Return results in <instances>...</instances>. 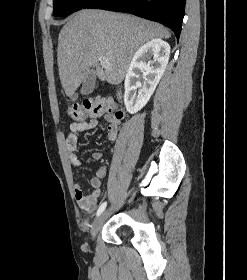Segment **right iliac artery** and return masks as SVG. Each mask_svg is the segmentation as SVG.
Masks as SVG:
<instances>
[{"mask_svg":"<svg viewBox=\"0 0 247 280\" xmlns=\"http://www.w3.org/2000/svg\"><path fill=\"white\" fill-rule=\"evenodd\" d=\"M107 202H104L100 205V207L97 210L96 215L99 216L106 208Z\"/></svg>","mask_w":247,"mask_h":280,"instance_id":"82829eb1","label":"right iliac artery"}]
</instances>
